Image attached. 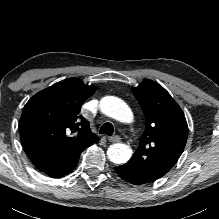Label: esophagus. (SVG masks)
Instances as JSON below:
<instances>
[{
    "mask_svg": "<svg viewBox=\"0 0 219 219\" xmlns=\"http://www.w3.org/2000/svg\"><path fill=\"white\" fill-rule=\"evenodd\" d=\"M110 142H119L121 141V137L118 135H113L111 137L108 138Z\"/></svg>",
    "mask_w": 219,
    "mask_h": 219,
    "instance_id": "1",
    "label": "esophagus"
}]
</instances>
